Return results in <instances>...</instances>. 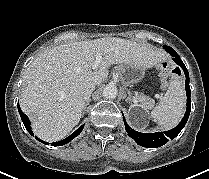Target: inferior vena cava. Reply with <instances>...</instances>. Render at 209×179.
<instances>
[{"mask_svg":"<svg viewBox=\"0 0 209 179\" xmlns=\"http://www.w3.org/2000/svg\"><path fill=\"white\" fill-rule=\"evenodd\" d=\"M95 86H96V85L93 84V85L89 86V88L86 90L85 96H84V99H85L86 101H87L88 98L90 97L91 92L95 90Z\"/></svg>","mask_w":209,"mask_h":179,"instance_id":"obj_1","label":"inferior vena cava"}]
</instances>
